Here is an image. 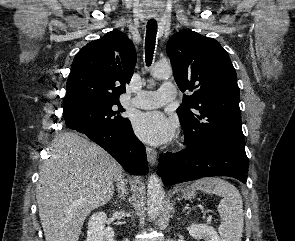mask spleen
<instances>
[{
    "label": "spleen",
    "mask_w": 295,
    "mask_h": 241,
    "mask_svg": "<svg viewBox=\"0 0 295 241\" xmlns=\"http://www.w3.org/2000/svg\"><path fill=\"white\" fill-rule=\"evenodd\" d=\"M191 188L222 197L218 206L221 217L220 241H241L243 234V202L237 188L218 177L203 178L192 183Z\"/></svg>",
    "instance_id": "spleen-1"
}]
</instances>
